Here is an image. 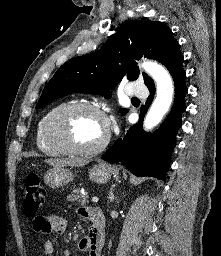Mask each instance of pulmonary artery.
<instances>
[{
	"label": "pulmonary artery",
	"mask_w": 221,
	"mask_h": 256,
	"mask_svg": "<svg viewBox=\"0 0 221 256\" xmlns=\"http://www.w3.org/2000/svg\"><path fill=\"white\" fill-rule=\"evenodd\" d=\"M126 93L129 96L146 97L148 95V89L142 82L135 81L128 85Z\"/></svg>",
	"instance_id": "e3ab8cb5"
}]
</instances>
